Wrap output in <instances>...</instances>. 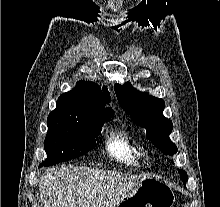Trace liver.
Returning a JSON list of instances; mask_svg holds the SVG:
<instances>
[{"mask_svg": "<svg viewBox=\"0 0 220 207\" xmlns=\"http://www.w3.org/2000/svg\"><path fill=\"white\" fill-rule=\"evenodd\" d=\"M144 178L116 170L61 166L39 181L45 207H115Z\"/></svg>", "mask_w": 220, "mask_h": 207, "instance_id": "obj_1", "label": "liver"}]
</instances>
